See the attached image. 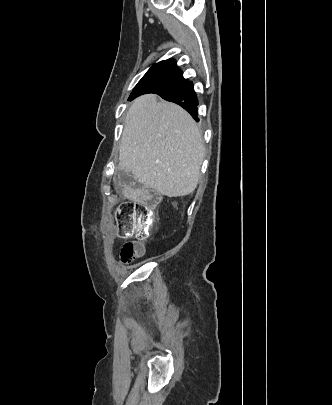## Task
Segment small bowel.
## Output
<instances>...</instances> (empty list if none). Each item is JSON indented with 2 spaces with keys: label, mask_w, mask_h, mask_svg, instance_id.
Returning a JSON list of instances; mask_svg holds the SVG:
<instances>
[{
  "label": "small bowel",
  "mask_w": 332,
  "mask_h": 405,
  "mask_svg": "<svg viewBox=\"0 0 332 405\" xmlns=\"http://www.w3.org/2000/svg\"><path fill=\"white\" fill-rule=\"evenodd\" d=\"M112 186H138L140 179L136 172H128L126 168H119L117 172L112 173Z\"/></svg>",
  "instance_id": "small-bowel-1"
}]
</instances>
